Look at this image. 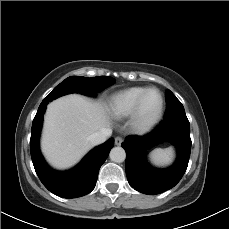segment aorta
<instances>
[{
	"label": "aorta",
	"mask_w": 229,
	"mask_h": 229,
	"mask_svg": "<svg viewBox=\"0 0 229 229\" xmlns=\"http://www.w3.org/2000/svg\"><path fill=\"white\" fill-rule=\"evenodd\" d=\"M126 154L122 147H114L110 151V159L113 162L121 163L125 160Z\"/></svg>",
	"instance_id": "762f6f07"
}]
</instances>
